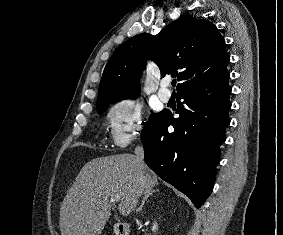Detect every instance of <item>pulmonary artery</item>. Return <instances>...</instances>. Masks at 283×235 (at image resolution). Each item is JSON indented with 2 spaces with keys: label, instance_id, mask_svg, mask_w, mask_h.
Instances as JSON below:
<instances>
[{
  "label": "pulmonary artery",
  "instance_id": "e3ab8cb5",
  "mask_svg": "<svg viewBox=\"0 0 283 235\" xmlns=\"http://www.w3.org/2000/svg\"><path fill=\"white\" fill-rule=\"evenodd\" d=\"M168 85L169 81L167 79L162 80L160 83V88L157 92L159 99L164 103H167L171 98V92L166 89Z\"/></svg>",
  "mask_w": 283,
  "mask_h": 235
}]
</instances>
